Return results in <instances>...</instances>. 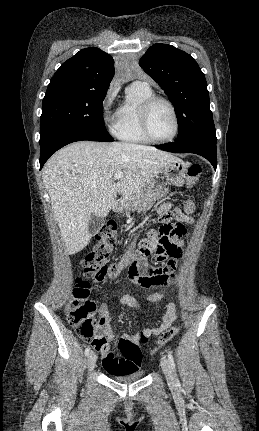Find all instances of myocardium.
<instances>
[{
    "label": "myocardium",
    "instance_id": "f54148a6",
    "mask_svg": "<svg viewBox=\"0 0 259 431\" xmlns=\"http://www.w3.org/2000/svg\"><path fill=\"white\" fill-rule=\"evenodd\" d=\"M158 102H163L169 107V109L172 113L173 119H174L173 133L170 137H168L166 139H158V138L154 137L152 132H151V128H150L151 110H152L153 106ZM139 118H140L141 129H142L144 135L146 136V138L150 142L158 143V144L169 143V142H172L178 135L179 118H178L176 108H175L174 104L168 98H166L164 96L152 95L148 99H146L140 106Z\"/></svg>",
    "mask_w": 259,
    "mask_h": 431
}]
</instances>
